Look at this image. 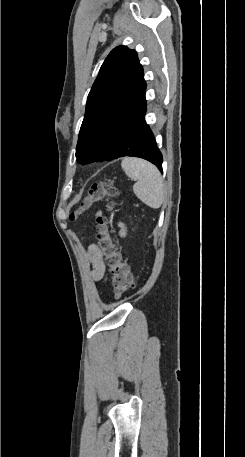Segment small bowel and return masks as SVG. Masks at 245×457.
I'll list each match as a JSON object with an SVG mask.
<instances>
[{"label":"small bowel","mask_w":245,"mask_h":457,"mask_svg":"<svg viewBox=\"0 0 245 457\" xmlns=\"http://www.w3.org/2000/svg\"><path fill=\"white\" fill-rule=\"evenodd\" d=\"M101 212L97 213V216H100ZM120 228V236L125 235V226L120 223L118 224ZM88 256L92 264V277L96 281L104 280L106 277V268L100 252V249L95 245L91 244L88 249Z\"/></svg>","instance_id":"c3829d8e"}]
</instances>
